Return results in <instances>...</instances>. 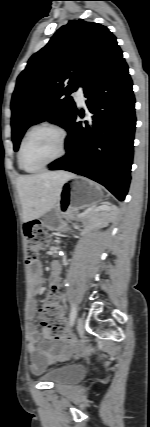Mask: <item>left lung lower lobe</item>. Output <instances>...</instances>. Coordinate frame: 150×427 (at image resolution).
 <instances>
[{"mask_svg": "<svg viewBox=\"0 0 150 427\" xmlns=\"http://www.w3.org/2000/svg\"><path fill=\"white\" fill-rule=\"evenodd\" d=\"M83 87L87 110L75 108L65 124L66 155L50 170L88 177L123 201L131 180L136 117L132 80L119 46ZM78 113L86 121L75 122Z\"/></svg>", "mask_w": 150, "mask_h": 427, "instance_id": "1", "label": "left lung lower lobe"}]
</instances>
